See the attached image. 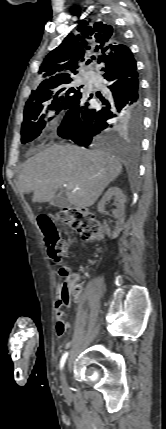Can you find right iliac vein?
<instances>
[{"instance_id": "obj_1", "label": "right iliac vein", "mask_w": 166, "mask_h": 429, "mask_svg": "<svg viewBox=\"0 0 166 429\" xmlns=\"http://www.w3.org/2000/svg\"><path fill=\"white\" fill-rule=\"evenodd\" d=\"M62 383L63 387L66 388V370H64L62 373Z\"/></svg>"}]
</instances>
